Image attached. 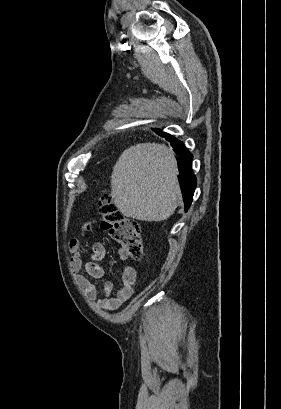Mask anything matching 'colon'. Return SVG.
I'll return each instance as SVG.
<instances>
[{
	"label": "colon",
	"mask_w": 281,
	"mask_h": 409,
	"mask_svg": "<svg viewBox=\"0 0 281 409\" xmlns=\"http://www.w3.org/2000/svg\"><path fill=\"white\" fill-rule=\"evenodd\" d=\"M99 213L101 228L113 236L127 257L140 260L143 256L140 225L132 217L124 215L118 210L107 196L99 202Z\"/></svg>",
	"instance_id": "colon-1"
}]
</instances>
